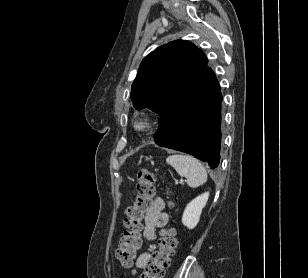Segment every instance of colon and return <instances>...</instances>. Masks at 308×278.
<instances>
[{"label":"colon","mask_w":308,"mask_h":278,"mask_svg":"<svg viewBox=\"0 0 308 278\" xmlns=\"http://www.w3.org/2000/svg\"><path fill=\"white\" fill-rule=\"evenodd\" d=\"M155 183L156 176L152 172L146 169L139 171L136 200L127 210L124 222L125 231L116 253L118 260L124 267H130L133 264L141 247L142 220L152 206ZM176 246L175 230L173 228L163 230L159 239V248L145 265L140 278H164Z\"/></svg>","instance_id":"colon-1"}]
</instances>
